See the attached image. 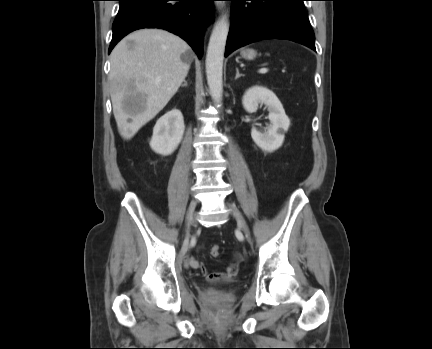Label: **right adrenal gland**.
<instances>
[{
    "mask_svg": "<svg viewBox=\"0 0 432 349\" xmlns=\"http://www.w3.org/2000/svg\"><path fill=\"white\" fill-rule=\"evenodd\" d=\"M187 85H188V84H187V81L184 80V81H183V84H182V87H184V86L187 87Z\"/></svg>",
    "mask_w": 432,
    "mask_h": 349,
    "instance_id": "right-adrenal-gland-1",
    "label": "right adrenal gland"
}]
</instances>
